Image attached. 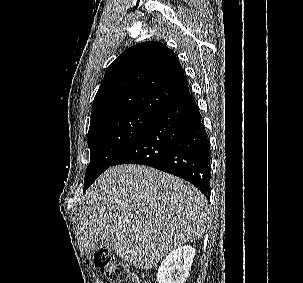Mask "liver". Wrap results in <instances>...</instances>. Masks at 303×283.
I'll list each match as a JSON object with an SVG mask.
<instances>
[{
    "label": "liver",
    "instance_id": "1",
    "mask_svg": "<svg viewBox=\"0 0 303 283\" xmlns=\"http://www.w3.org/2000/svg\"><path fill=\"white\" fill-rule=\"evenodd\" d=\"M207 200L193 185L141 165L107 169L86 192L79 227L88 252L98 241L148 270L175 248L203 236Z\"/></svg>",
    "mask_w": 303,
    "mask_h": 283
}]
</instances>
